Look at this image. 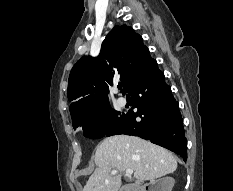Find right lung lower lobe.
<instances>
[{"label": "right lung lower lobe", "mask_w": 233, "mask_h": 191, "mask_svg": "<svg viewBox=\"0 0 233 191\" xmlns=\"http://www.w3.org/2000/svg\"><path fill=\"white\" fill-rule=\"evenodd\" d=\"M127 92L134 98V113L129 111L118 124L106 134L138 136L165 147L187 160V141L184 136L183 120L171 88L164 82V74L157 62L149 58L130 84ZM141 120L136 121V118Z\"/></svg>", "instance_id": "1"}]
</instances>
